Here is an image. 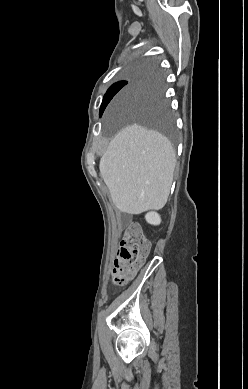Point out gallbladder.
I'll use <instances>...</instances> for the list:
<instances>
[{
  "label": "gallbladder",
  "instance_id": "obj_1",
  "mask_svg": "<svg viewBox=\"0 0 248 389\" xmlns=\"http://www.w3.org/2000/svg\"><path fill=\"white\" fill-rule=\"evenodd\" d=\"M130 221V216H124V224L128 223Z\"/></svg>",
  "mask_w": 248,
  "mask_h": 389
}]
</instances>
